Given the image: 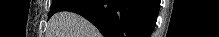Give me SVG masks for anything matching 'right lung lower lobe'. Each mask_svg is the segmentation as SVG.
Instances as JSON below:
<instances>
[{"mask_svg": "<svg viewBox=\"0 0 219 37\" xmlns=\"http://www.w3.org/2000/svg\"><path fill=\"white\" fill-rule=\"evenodd\" d=\"M60 11L82 15L104 37H150L159 11L157 0H71Z\"/></svg>", "mask_w": 219, "mask_h": 37, "instance_id": "right-lung-lower-lobe-1", "label": "right lung lower lobe"}]
</instances>
